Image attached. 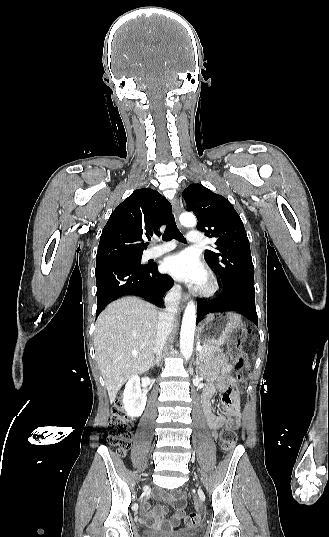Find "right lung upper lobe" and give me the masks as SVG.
I'll return each mask as SVG.
<instances>
[{
	"instance_id": "obj_1",
	"label": "right lung upper lobe",
	"mask_w": 329,
	"mask_h": 537,
	"mask_svg": "<svg viewBox=\"0 0 329 537\" xmlns=\"http://www.w3.org/2000/svg\"><path fill=\"white\" fill-rule=\"evenodd\" d=\"M171 205L156 190H135L120 203L107 221L97 250L96 264L141 257L147 243L143 238L159 236L167 223Z\"/></svg>"
}]
</instances>
